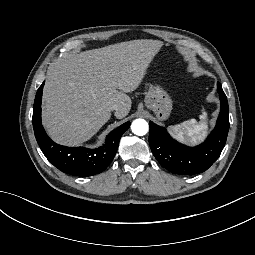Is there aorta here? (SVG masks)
<instances>
[{"mask_svg": "<svg viewBox=\"0 0 255 255\" xmlns=\"http://www.w3.org/2000/svg\"><path fill=\"white\" fill-rule=\"evenodd\" d=\"M132 132L138 136H143L148 132L149 126L144 119H136L131 124Z\"/></svg>", "mask_w": 255, "mask_h": 255, "instance_id": "762f6f07", "label": "aorta"}]
</instances>
